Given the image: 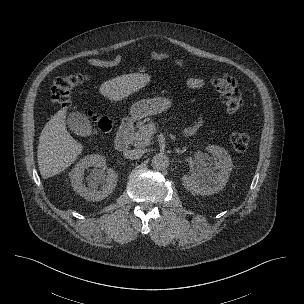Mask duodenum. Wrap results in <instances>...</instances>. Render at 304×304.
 I'll list each match as a JSON object with an SVG mask.
<instances>
[{
    "instance_id": "410a0bca",
    "label": "duodenum",
    "mask_w": 304,
    "mask_h": 304,
    "mask_svg": "<svg viewBox=\"0 0 304 304\" xmlns=\"http://www.w3.org/2000/svg\"><path fill=\"white\" fill-rule=\"evenodd\" d=\"M132 126H133L132 119H125L120 123L115 138V148L118 151L124 152L127 150L128 135Z\"/></svg>"
}]
</instances>
